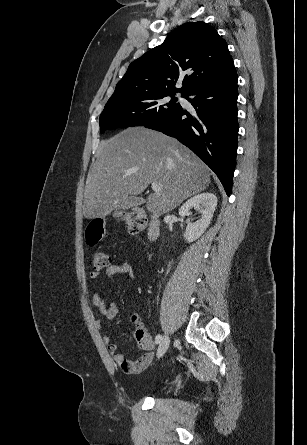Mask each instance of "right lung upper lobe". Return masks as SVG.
<instances>
[{"label": "right lung upper lobe", "mask_w": 307, "mask_h": 445, "mask_svg": "<svg viewBox=\"0 0 307 445\" xmlns=\"http://www.w3.org/2000/svg\"><path fill=\"white\" fill-rule=\"evenodd\" d=\"M232 64L227 44L214 27L202 21L188 22L133 61L111 98L177 92L184 96ZM182 79V87L176 88Z\"/></svg>", "instance_id": "obj_1"}]
</instances>
